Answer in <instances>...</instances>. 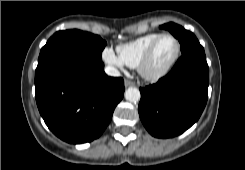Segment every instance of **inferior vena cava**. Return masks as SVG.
<instances>
[{"mask_svg": "<svg viewBox=\"0 0 245 170\" xmlns=\"http://www.w3.org/2000/svg\"><path fill=\"white\" fill-rule=\"evenodd\" d=\"M105 73L109 76H113V77H119L120 76V72L118 71V69H116L115 67L112 66H106L105 67Z\"/></svg>", "mask_w": 245, "mask_h": 170, "instance_id": "1", "label": "inferior vena cava"}]
</instances>
